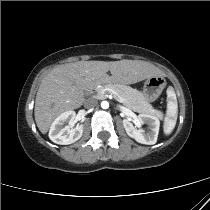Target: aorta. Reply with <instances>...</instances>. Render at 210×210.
<instances>
[{"instance_id":"obj_1","label":"aorta","mask_w":210,"mask_h":210,"mask_svg":"<svg viewBox=\"0 0 210 210\" xmlns=\"http://www.w3.org/2000/svg\"><path fill=\"white\" fill-rule=\"evenodd\" d=\"M101 107H102L103 109H108V108H109V103H108L107 101H102Z\"/></svg>"}]
</instances>
